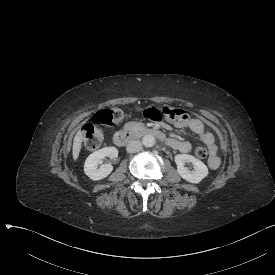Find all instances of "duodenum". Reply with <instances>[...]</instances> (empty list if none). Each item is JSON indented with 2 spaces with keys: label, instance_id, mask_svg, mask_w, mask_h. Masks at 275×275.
Masks as SVG:
<instances>
[{
  "label": "duodenum",
  "instance_id": "1",
  "mask_svg": "<svg viewBox=\"0 0 275 275\" xmlns=\"http://www.w3.org/2000/svg\"><path fill=\"white\" fill-rule=\"evenodd\" d=\"M141 135H150L158 138L159 140L165 139V134L151 127L140 128L138 130H121L114 134L113 141L117 146H125L134 139Z\"/></svg>",
  "mask_w": 275,
  "mask_h": 275
}]
</instances>
